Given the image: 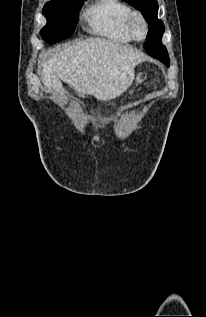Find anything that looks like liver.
<instances>
[{
  "label": "liver",
  "mask_w": 206,
  "mask_h": 317,
  "mask_svg": "<svg viewBox=\"0 0 206 317\" xmlns=\"http://www.w3.org/2000/svg\"><path fill=\"white\" fill-rule=\"evenodd\" d=\"M41 58L45 87L60 90L62 80L79 95L101 101L115 99L130 87L136 65L144 61L137 50L99 37L48 50Z\"/></svg>",
  "instance_id": "liver-1"
}]
</instances>
